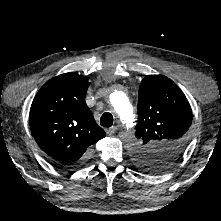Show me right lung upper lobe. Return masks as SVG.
Listing matches in <instances>:
<instances>
[{"mask_svg":"<svg viewBox=\"0 0 221 221\" xmlns=\"http://www.w3.org/2000/svg\"><path fill=\"white\" fill-rule=\"evenodd\" d=\"M89 78L70 72L46 82L30 108V128L39 147L60 164L84 161L105 137L86 105Z\"/></svg>","mask_w":221,"mask_h":221,"instance_id":"cb5924a9","label":"right lung upper lobe"}]
</instances>
